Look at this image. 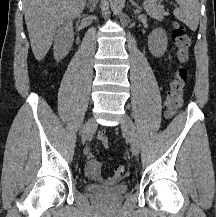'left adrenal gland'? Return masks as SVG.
Masks as SVG:
<instances>
[{
  "label": "left adrenal gland",
  "mask_w": 216,
  "mask_h": 217,
  "mask_svg": "<svg viewBox=\"0 0 216 217\" xmlns=\"http://www.w3.org/2000/svg\"><path fill=\"white\" fill-rule=\"evenodd\" d=\"M131 4L137 8V11H140L142 8L138 5V3H136L134 0H130Z\"/></svg>",
  "instance_id": "obj_1"
}]
</instances>
